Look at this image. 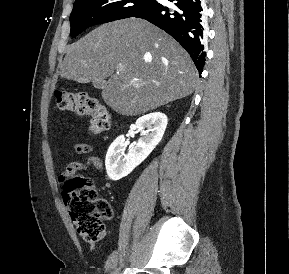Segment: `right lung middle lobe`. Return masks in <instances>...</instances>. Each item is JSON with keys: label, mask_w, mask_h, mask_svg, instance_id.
<instances>
[{"label": "right lung middle lobe", "mask_w": 289, "mask_h": 274, "mask_svg": "<svg viewBox=\"0 0 289 274\" xmlns=\"http://www.w3.org/2000/svg\"><path fill=\"white\" fill-rule=\"evenodd\" d=\"M155 0H75L70 15L71 36L96 24L134 17L148 9Z\"/></svg>", "instance_id": "1"}]
</instances>
